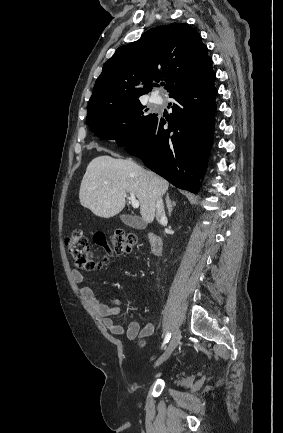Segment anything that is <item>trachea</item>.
Returning a JSON list of instances; mask_svg holds the SVG:
<instances>
[{
	"instance_id": "trachea-1",
	"label": "trachea",
	"mask_w": 283,
	"mask_h": 433,
	"mask_svg": "<svg viewBox=\"0 0 283 433\" xmlns=\"http://www.w3.org/2000/svg\"><path fill=\"white\" fill-rule=\"evenodd\" d=\"M160 85H161V86H163V85H164V83H160Z\"/></svg>"
}]
</instances>
